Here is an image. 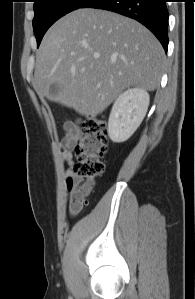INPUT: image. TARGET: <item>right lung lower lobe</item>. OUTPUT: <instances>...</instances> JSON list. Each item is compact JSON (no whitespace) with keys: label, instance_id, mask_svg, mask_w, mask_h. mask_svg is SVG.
<instances>
[{"label":"right lung lower lobe","instance_id":"right-lung-lower-lobe-1","mask_svg":"<svg viewBox=\"0 0 195 299\" xmlns=\"http://www.w3.org/2000/svg\"><path fill=\"white\" fill-rule=\"evenodd\" d=\"M167 0H88L81 8H97L130 17L146 26L160 41L165 51L168 47Z\"/></svg>","mask_w":195,"mask_h":299}]
</instances>
